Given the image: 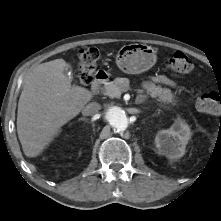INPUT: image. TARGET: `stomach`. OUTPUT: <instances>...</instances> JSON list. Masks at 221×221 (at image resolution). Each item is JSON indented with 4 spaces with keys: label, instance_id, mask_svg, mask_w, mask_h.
<instances>
[{
    "label": "stomach",
    "instance_id": "stomach-1",
    "mask_svg": "<svg viewBox=\"0 0 221 221\" xmlns=\"http://www.w3.org/2000/svg\"><path fill=\"white\" fill-rule=\"evenodd\" d=\"M156 62L153 48L143 44L124 45L117 53L116 64L127 74H140L149 70Z\"/></svg>",
    "mask_w": 221,
    "mask_h": 221
}]
</instances>
